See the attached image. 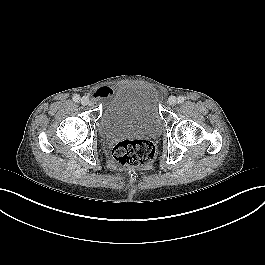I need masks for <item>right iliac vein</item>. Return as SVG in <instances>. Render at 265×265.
I'll return each instance as SVG.
<instances>
[{
	"label": "right iliac vein",
	"mask_w": 265,
	"mask_h": 265,
	"mask_svg": "<svg viewBox=\"0 0 265 265\" xmlns=\"http://www.w3.org/2000/svg\"><path fill=\"white\" fill-rule=\"evenodd\" d=\"M81 104L86 106V105H89L90 104V100L88 97L84 96L81 98Z\"/></svg>",
	"instance_id": "1"
}]
</instances>
